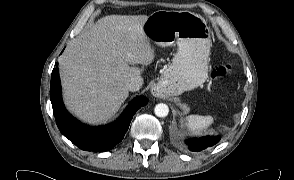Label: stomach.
Masks as SVG:
<instances>
[{
  "label": "stomach",
  "mask_w": 294,
  "mask_h": 180,
  "mask_svg": "<svg viewBox=\"0 0 294 180\" xmlns=\"http://www.w3.org/2000/svg\"><path fill=\"white\" fill-rule=\"evenodd\" d=\"M143 31L151 43L178 46L172 64L158 82L164 95H179L205 82L211 31L204 18L189 11H156L148 16Z\"/></svg>",
  "instance_id": "1"
}]
</instances>
